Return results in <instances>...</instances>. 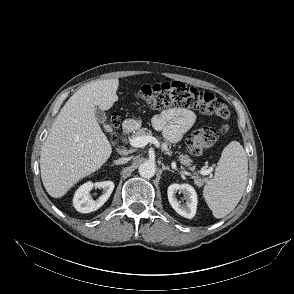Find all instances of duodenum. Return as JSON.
Instances as JSON below:
<instances>
[{"label": "duodenum", "instance_id": "obj_1", "mask_svg": "<svg viewBox=\"0 0 294 294\" xmlns=\"http://www.w3.org/2000/svg\"><path fill=\"white\" fill-rule=\"evenodd\" d=\"M135 129V122L133 120L127 119L122 124V130L124 134H130Z\"/></svg>", "mask_w": 294, "mask_h": 294}]
</instances>
